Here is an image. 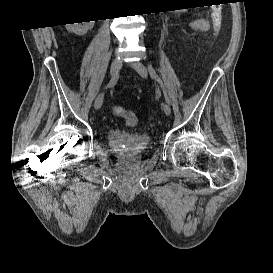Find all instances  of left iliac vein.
I'll return each instance as SVG.
<instances>
[{
	"label": "left iliac vein",
	"mask_w": 273,
	"mask_h": 273,
	"mask_svg": "<svg viewBox=\"0 0 273 273\" xmlns=\"http://www.w3.org/2000/svg\"><path fill=\"white\" fill-rule=\"evenodd\" d=\"M131 66L137 71V73L142 77V78H147L148 76V71L146 66L141 63L140 61H134L131 63ZM163 110L166 115H170L171 113V108L168 104L163 105Z\"/></svg>",
	"instance_id": "4c4485c4"
}]
</instances>
